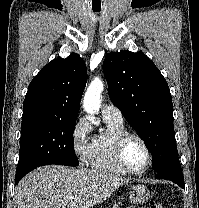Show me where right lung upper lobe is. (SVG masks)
I'll list each match as a JSON object with an SVG mask.
<instances>
[{"instance_id":"cb5924a9","label":"right lung upper lobe","mask_w":199,"mask_h":208,"mask_svg":"<svg viewBox=\"0 0 199 208\" xmlns=\"http://www.w3.org/2000/svg\"><path fill=\"white\" fill-rule=\"evenodd\" d=\"M86 82V65L78 54L51 61L30 83L23 103V115L77 118Z\"/></svg>"}]
</instances>
